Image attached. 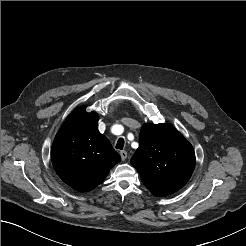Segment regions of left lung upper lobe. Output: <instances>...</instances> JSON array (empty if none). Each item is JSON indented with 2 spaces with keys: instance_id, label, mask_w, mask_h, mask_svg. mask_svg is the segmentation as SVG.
<instances>
[{
  "instance_id": "obj_1",
  "label": "left lung upper lobe",
  "mask_w": 246,
  "mask_h": 246,
  "mask_svg": "<svg viewBox=\"0 0 246 246\" xmlns=\"http://www.w3.org/2000/svg\"><path fill=\"white\" fill-rule=\"evenodd\" d=\"M131 164L155 196L181 189L195 167L191 144L170 124H144Z\"/></svg>"
}]
</instances>
